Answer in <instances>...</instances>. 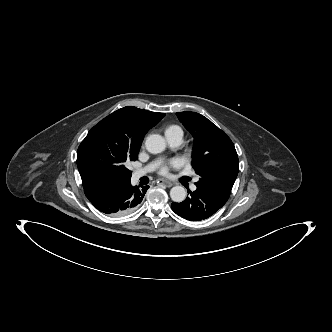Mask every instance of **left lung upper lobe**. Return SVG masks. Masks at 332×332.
<instances>
[{"label": "left lung upper lobe", "instance_id": "obj_1", "mask_svg": "<svg viewBox=\"0 0 332 332\" xmlns=\"http://www.w3.org/2000/svg\"><path fill=\"white\" fill-rule=\"evenodd\" d=\"M177 117L194 137L192 166L197 188L226 203L236 180L239 161L231 139L210 120L195 112Z\"/></svg>", "mask_w": 332, "mask_h": 332}]
</instances>
